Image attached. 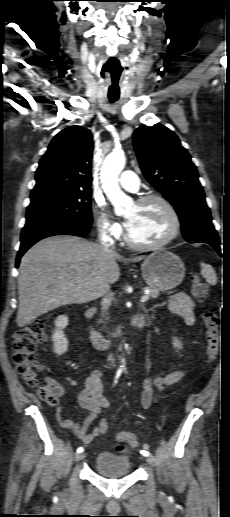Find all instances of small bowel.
<instances>
[{
  "mask_svg": "<svg viewBox=\"0 0 230 517\" xmlns=\"http://www.w3.org/2000/svg\"><path fill=\"white\" fill-rule=\"evenodd\" d=\"M168 308L172 313L181 316L187 325H193L195 303L189 296L184 293L173 295L168 301ZM184 375L185 370H176L147 376L144 380L141 394L143 408L148 409L153 406L164 388L178 382ZM102 378L103 372L96 369L84 381V387L79 392L77 400L79 405L88 411V414L81 423L65 419L61 406H57L54 411L57 425L70 430L79 440L87 445L92 443L95 438L104 435L108 430V423L105 420L100 421L97 426L91 428L92 423L97 419L102 410L110 406V402L103 394ZM66 379L72 386H77L78 382L70 374H66ZM126 432H119L116 435V440L123 437ZM131 446L135 447L137 445Z\"/></svg>",
  "mask_w": 230,
  "mask_h": 517,
  "instance_id": "obj_1",
  "label": "small bowel"
}]
</instances>
